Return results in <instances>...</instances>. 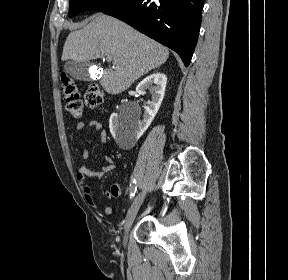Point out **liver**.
Instances as JSON below:
<instances>
[{
  "label": "liver",
  "instance_id": "liver-1",
  "mask_svg": "<svg viewBox=\"0 0 288 280\" xmlns=\"http://www.w3.org/2000/svg\"><path fill=\"white\" fill-rule=\"evenodd\" d=\"M111 57L113 68L104 70L100 84L109 94H119L135 80L164 64L167 48L118 19L98 13L66 38L62 61L87 62Z\"/></svg>",
  "mask_w": 288,
  "mask_h": 280
}]
</instances>
